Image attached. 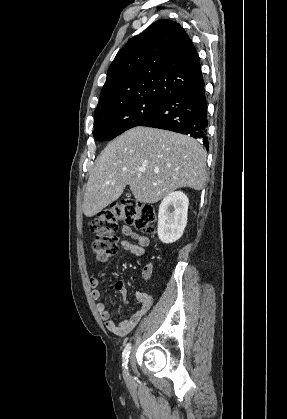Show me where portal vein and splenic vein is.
<instances>
[{"mask_svg": "<svg viewBox=\"0 0 287 419\" xmlns=\"http://www.w3.org/2000/svg\"><path fill=\"white\" fill-rule=\"evenodd\" d=\"M140 172H145V169H139Z\"/></svg>", "mask_w": 287, "mask_h": 419, "instance_id": "obj_1", "label": "portal vein and splenic vein"}]
</instances>
